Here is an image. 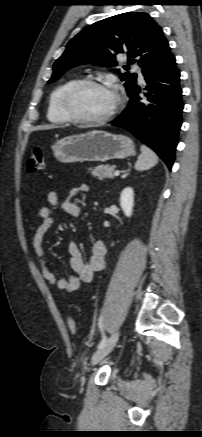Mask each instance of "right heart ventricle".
I'll use <instances>...</instances> for the list:
<instances>
[{"label": "right heart ventricle", "mask_w": 202, "mask_h": 437, "mask_svg": "<svg viewBox=\"0 0 202 437\" xmlns=\"http://www.w3.org/2000/svg\"><path fill=\"white\" fill-rule=\"evenodd\" d=\"M78 80V78H71L52 91L47 108V118L50 122L54 124H65L72 121L64 114L61 107V100L65 91Z\"/></svg>", "instance_id": "1"}]
</instances>
